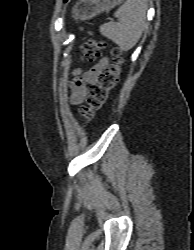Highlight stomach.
<instances>
[{"label":"stomach","instance_id":"0dacf381","mask_svg":"<svg viewBox=\"0 0 194 250\" xmlns=\"http://www.w3.org/2000/svg\"><path fill=\"white\" fill-rule=\"evenodd\" d=\"M122 0H81L73 7L75 19L86 20L104 11H109Z\"/></svg>","mask_w":194,"mask_h":250}]
</instances>
